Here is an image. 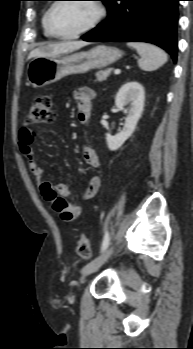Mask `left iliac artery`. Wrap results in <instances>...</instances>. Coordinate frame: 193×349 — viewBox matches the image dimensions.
Returning a JSON list of instances; mask_svg holds the SVG:
<instances>
[{
	"label": "left iliac artery",
	"instance_id": "left-iliac-artery-1",
	"mask_svg": "<svg viewBox=\"0 0 193 349\" xmlns=\"http://www.w3.org/2000/svg\"><path fill=\"white\" fill-rule=\"evenodd\" d=\"M109 241H110V236L109 233L106 232L105 236L103 238V242H102V247H101V252L105 251L109 245Z\"/></svg>",
	"mask_w": 193,
	"mask_h": 349
}]
</instances>
